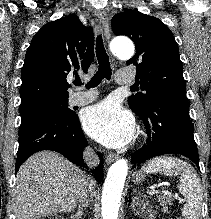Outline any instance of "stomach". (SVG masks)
I'll use <instances>...</instances> for the list:
<instances>
[{
	"instance_id": "obj_1",
	"label": "stomach",
	"mask_w": 211,
	"mask_h": 219,
	"mask_svg": "<svg viewBox=\"0 0 211 219\" xmlns=\"http://www.w3.org/2000/svg\"><path fill=\"white\" fill-rule=\"evenodd\" d=\"M144 179H145V175L143 173H141V172H135L133 174V182L135 184L142 183L144 181Z\"/></svg>"
}]
</instances>
